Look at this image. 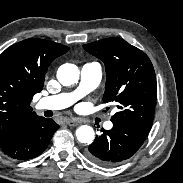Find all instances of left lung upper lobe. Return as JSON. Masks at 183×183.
Segmentation results:
<instances>
[{
  "mask_svg": "<svg viewBox=\"0 0 183 183\" xmlns=\"http://www.w3.org/2000/svg\"><path fill=\"white\" fill-rule=\"evenodd\" d=\"M83 47L106 66L103 102L113 103L117 108L111 121L128 122L149 132L153 123L157 85L148 56L116 37L85 44Z\"/></svg>",
  "mask_w": 183,
  "mask_h": 183,
  "instance_id": "left-lung-upper-lobe-1",
  "label": "left lung upper lobe"
}]
</instances>
